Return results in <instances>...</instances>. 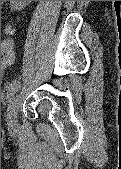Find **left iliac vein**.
I'll list each match as a JSON object with an SVG mask.
<instances>
[{"mask_svg":"<svg viewBox=\"0 0 121 169\" xmlns=\"http://www.w3.org/2000/svg\"><path fill=\"white\" fill-rule=\"evenodd\" d=\"M18 101L19 96L17 95L12 104L9 106L7 114H6V121L9 127H16L17 125V108H18Z\"/></svg>","mask_w":121,"mask_h":169,"instance_id":"left-iliac-vein-1","label":"left iliac vein"}]
</instances>
